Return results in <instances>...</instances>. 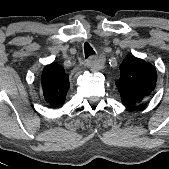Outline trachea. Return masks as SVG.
<instances>
[{"mask_svg": "<svg viewBox=\"0 0 169 169\" xmlns=\"http://www.w3.org/2000/svg\"><path fill=\"white\" fill-rule=\"evenodd\" d=\"M84 53H85V58H88L89 56L95 54V51L93 50V48L88 42H85L84 44Z\"/></svg>", "mask_w": 169, "mask_h": 169, "instance_id": "3493384b", "label": "trachea"}]
</instances>
